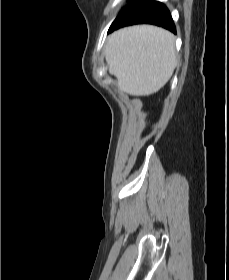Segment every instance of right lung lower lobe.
I'll return each instance as SVG.
<instances>
[{
	"mask_svg": "<svg viewBox=\"0 0 229 280\" xmlns=\"http://www.w3.org/2000/svg\"><path fill=\"white\" fill-rule=\"evenodd\" d=\"M148 23L166 28L176 33L169 10L154 0H133L116 17L108 33L133 24Z\"/></svg>",
	"mask_w": 229,
	"mask_h": 280,
	"instance_id": "right-lung-lower-lobe-1",
	"label": "right lung lower lobe"
}]
</instances>
